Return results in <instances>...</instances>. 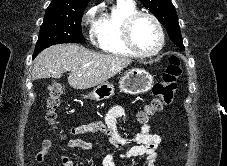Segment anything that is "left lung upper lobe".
<instances>
[{"label": "left lung upper lobe", "mask_w": 227, "mask_h": 166, "mask_svg": "<svg viewBox=\"0 0 227 166\" xmlns=\"http://www.w3.org/2000/svg\"><path fill=\"white\" fill-rule=\"evenodd\" d=\"M163 24L171 41L184 49L175 7L171 0H139Z\"/></svg>", "instance_id": "1"}]
</instances>
